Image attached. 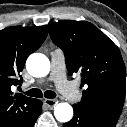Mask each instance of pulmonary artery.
I'll return each instance as SVG.
<instances>
[{
  "label": "pulmonary artery",
  "mask_w": 127,
  "mask_h": 127,
  "mask_svg": "<svg viewBox=\"0 0 127 127\" xmlns=\"http://www.w3.org/2000/svg\"><path fill=\"white\" fill-rule=\"evenodd\" d=\"M50 56L51 69L49 80L55 82L56 87L66 99H75L78 93L72 84L66 80L63 53L60 50H53L50 52Z\"/></svg>",
  "instance_id": "1"
}]
</instances>
